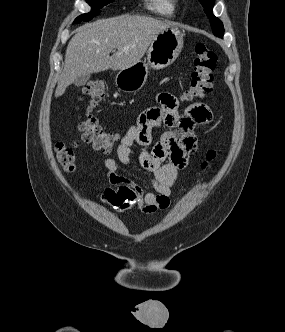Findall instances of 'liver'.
Instances as JSON below:
<instances>
[{"instance_id":"liver-1","label":"liver","mask_w":285,"mask_h":332,"mask_svg":"<svg viewBox=\"0 0 285 332\" xmlns=\"http://www.w3.org/2000/svg\"><path fill=\"white\" fill-rule=\"evenodd\" d=\"M172 26L151 17L121 15L79 27L68 43L55 97L82 75L124 70L140 62L155 37ZM113 49L117 52L110 56Z\"/></svg>"}]
</instances>
